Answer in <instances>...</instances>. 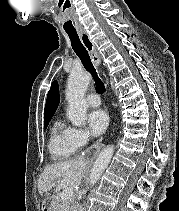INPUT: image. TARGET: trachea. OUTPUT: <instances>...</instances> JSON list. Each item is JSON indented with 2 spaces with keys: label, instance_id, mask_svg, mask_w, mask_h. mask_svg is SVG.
Segmentation results:
<instances>
[{
  "label": "trachea",
  "instance_id": "trachea-1",
  "mask_svg": "<svg viewBox=\"0 0 179 211\" xmlns=\"http://www.w3.org/2000/svg\"><path fill=\"white\" fill-rule=\"evenodd\" d=\"M66 32L70 38L71 46H72L74 52L80 58L84 68L92 74L93 79L95 80L97 92L100 94H103L105 92L104 83L98 77L96 69L94 68V66L91 62L88 51L86 50L85 46L80 41V38H79L77 32L76 31H66Z\"/></svg>",
  "mask_w": 179,
  "mask_h": 211
}]
</instances>
